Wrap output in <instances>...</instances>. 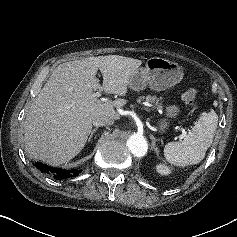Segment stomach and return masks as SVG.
<instances>
[{
	"label": "stomach",
	"instance_id": "stomach-1",
	"mask_svg": "<svg viewBox=\"0 0 237 237\" xmlns=\"http://www.w3.org/2000/svg\"><path fill=\"white\" fill-rule=\"evenodd\" d=\"M183 78L182 68L175 62L160 57H151L145 68L136 69L129 79L128 86L134 91H142L148 85L156 91L165 90L179 83ZM180 107L176 104L166 108V117L158 121V129L165 132L170 124L169 119L180 114Z\"/></svg>",
	"mask_w": 237,
	"mask_h": 237
}]
</instances>
